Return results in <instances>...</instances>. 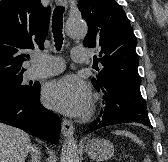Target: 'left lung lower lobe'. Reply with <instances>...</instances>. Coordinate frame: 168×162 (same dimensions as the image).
<instances>
[{
  "label": "left lung lower lobe",
  "instance_id": "obj_1",
  "mask_svg": "<svg viewBox=\"0 0 168 162\" xmlns=\"http://www.w3.org/2000/svg\"><path fill=\"white\" fill-rule=\"evenodd\" d=\"M105 95V109L97 120L90 124V132L104 126L137 122L149 126L147 105L140 88L124 82L110 83L101 89Z\"/></svg>",
  "mask_w": 168,
  "mask_h": 162
}]
</instances>
